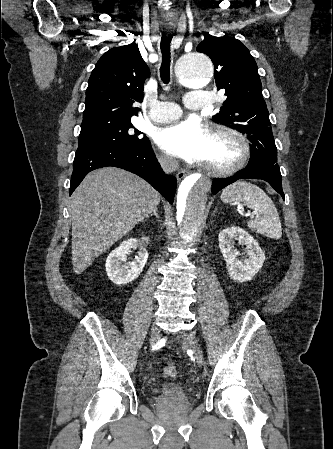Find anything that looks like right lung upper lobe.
I'll return each instance as SVG.
<instances>
[{"instance_id": "right-lung-upper-lobe-1", "label": "right lung upper lobe", "mask_w": 333, "mask_h": 449, "mask_svg": "<svg viewBox=\"0 0 333 449\" xmlns=\"http://www.w3.org/2000/svg\"><path fill=\"white\" fill-rule=\"evenodd\" d=\"M149 68L136 44L115 47L98 60L86 89L81 126L130 120L138 115Z\"/></svg>"}]
</instances>
